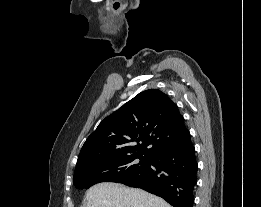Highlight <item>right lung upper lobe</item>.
<instances>
[{
    "label": "right lung upper lobe",
    "instance_id": "right-lung-upper-lobe-1",
    "mask_svg": "<svg viewBox=\"0 0 261 207\" xmlns=\"http://www.w3.org/2000/svg\"><path fill=\"white\" fill-rule=\"evenodd\" d=\"M189 139L190 132L177 105L160 90L149 89L98 125L84 143L76 168L124 155L152 157Z\"/></svg>",
    "mask_w": 261,
    "mask_h": 207
}]
</instances>
